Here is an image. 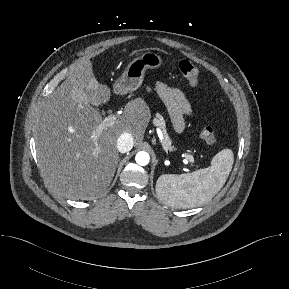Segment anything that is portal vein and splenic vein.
<instances>
[{"label":"portal vein and splenic vein","instance_id":"obj_1","mask_svg":"<svg viewBox=\"0 0 289 289\" xmlns=\"http://www.w3.org/2000/svg\"><path fill=\"white\" fill-rule=\"evenodd\" d=\"M116 119H117L116 115L111 114V115L107 116V117L104 119L103 122L105 123L106 126H112V125L115 124ZM185 158H186L187 161H189V162H191V163H193V164L195 163V159H194V157H193L192 155L186 154V155H185Z\"/></svg>","mask_w":289,"mask_h":289}]
</instances>
